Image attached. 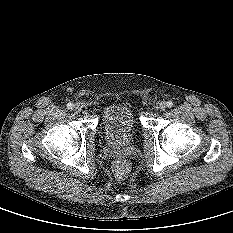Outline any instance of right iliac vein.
I'll return each instance as SVG.
<instances>
[{"label":"right iliac vein","mask_w":233,"mask_h":233,"mask_svg":"<svg viewBox=\"0 0 233 233\" xmlns=\"http://www.w3.org/2000/svg\"><path fill=\"white\" fill-rule=\"evenodd\" d=\"M81 110H82L81 105H79V104H75V105H74L73 111H74L75 113H79Z\"/></svg>","instance_id":"1"}]
</instances>
